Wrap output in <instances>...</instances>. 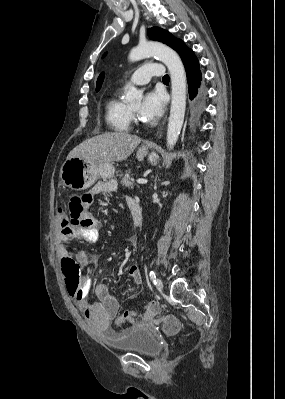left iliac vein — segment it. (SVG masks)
Listing matches in <instances>:
<instances>
[{
	"mask_svg": "<svg viewBox=\"0 0 285 399\" xmlns=\"http://www.w3.org/2000/svg\"><path fill=\"white\" fill-rule=\"evenodd\" d=\"M156 288L159 291H162V289H163V282H162V280L160 278H158L157 281H156Z\"/></svg>",
	"mask_w": 285,
	"mask_h": 399,
	"instance_id": "1",
	"label": "left iliac vein"
}]
</instances>
